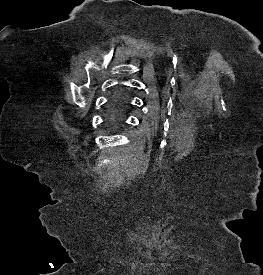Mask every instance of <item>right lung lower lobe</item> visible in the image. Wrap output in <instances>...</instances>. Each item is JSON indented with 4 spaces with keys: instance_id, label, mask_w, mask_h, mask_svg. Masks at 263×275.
Returning a JSON list of instances; mask_svg holds the SVG:
<instances>
[{
    "instance_id": "1",
    "label": "right lung lower lobe",
    "mask_w": 263,
    "mask_h": 275,
    "mask_svg": "<svg viewBox=\"0 0 263 275\" xmlns=\"http://www.w3.org/2000/svg\"><path fill=\"white\" fill-rule=\"evenodd\" d=\"M116 100H117V98H115V99L112 101V103H111V107H110L111 112H110V114L108 115V120H109V121H113L111 117H112V110H113V108H114V105H115V103H116Z\"/></svg>"
}]
</instances>
